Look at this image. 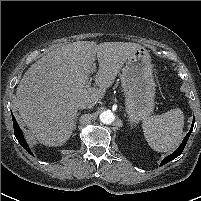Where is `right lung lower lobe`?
Instances as JSON below:
<instances>
[{"mask_svg": "<svg viewBox=\"0 0 201 201\" xmlns=\"http://www.w3.org/2000/svg\"><path fill=\"white\" fill-rule=\"evenodd\" d=\"M12 114V113H11ZM12 120H13V126H14V134L15 137L17 138L18 142L20 143V145L28 152L32 155V152L30 150V148L28 147V144L26 142V140L24 139L23 133L18 125V123L16 122L15 117L12 114Z\"/></svg>", "mask_w": 201, "mask_h": 201, "instance_id": "obj_1", "label": "right lung lower lobe"}]
</instances>
